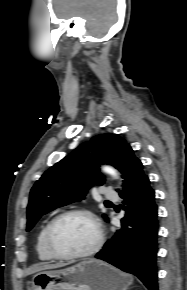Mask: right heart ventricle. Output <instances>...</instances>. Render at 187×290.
<instances>
[{
    "label": "right heart ventricle",
    "mask_w": 187,
    "mask_h": 290,
    "mask_svg": "<svg viewBox=\"0 0 187 290\" xmlns=\"http://www.w3.org/2000/svg\"><path fill=\"white\" fill-rule=\"evenodd\" d=\"M46 223L40 230L37 241H36V252L40 260L42 261H53L55 258L49 253L45 244V233L48 227Z\"/></svg>",
    "instance_id": "obj_1"
}]
</instances>
